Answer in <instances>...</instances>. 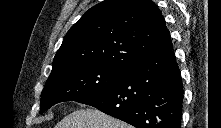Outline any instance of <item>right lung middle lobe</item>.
Instances as JSON below:
<instances>
[{"label": "right lung middle lobe", "mask_w": 221, "mask_h": 128, "mask_svg": "<svg viewBox=\"0 0 221 128\" xmlns=\"http://www.w3.org/2000/svg\"><path fill=\"white\" fill-rule=\"evenodd\" d=\"M127 70L100 65L61 68L51 72L41 95L40 114L64 101H80L119 80Z\"/></svg>", "instance_id": "right-lung-middle-lobe-1"}]
</instances>
